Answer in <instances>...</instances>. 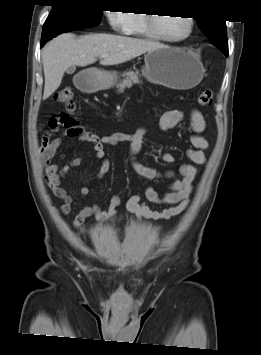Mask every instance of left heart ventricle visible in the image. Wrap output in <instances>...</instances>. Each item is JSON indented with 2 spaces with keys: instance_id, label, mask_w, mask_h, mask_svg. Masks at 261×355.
<instances>
[{
  "instance_id": "1",
  "label": "left heart ventricle",
  "mask_w": 261,
  "mask_h": 355,
  "mask_svg": "<svg viewBox=\"0 0 261 355\" xmlns=\"http://www.w3.org/2000/svg\"><path fill=\"white\" fill-rule=\"evenodd\" d=\"M159 31L167 37L179 38L188 32L189 25L185 17L157 18Z\"/></svg>"
}]
</instances>
